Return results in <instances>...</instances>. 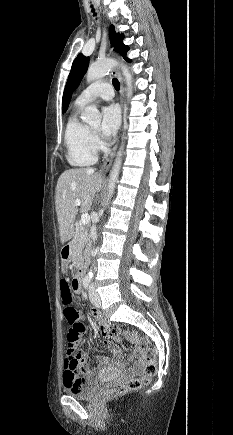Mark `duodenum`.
Returning <instances> with one entry per match:
<instances>
[{
    "label": "duodenum",
    "mask_w": 233,
    "mask_h": 435,
    "mask_svg": "<svg viewBox=\"0 0 233 435\" xmlns=\"http://www.w3.org/2000/svg\"><path fill=\"white\" fill-rule=\"evenodd\" d=\"M70 253H71V246L70 245L64 246L61 252V261L64 265L67 264L70 257ZM83 276H84V269H80L77 273L76 280L81 283Z\"/></svg>",
    "instance_id": "410a0bca"
}]
</instances>
